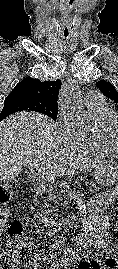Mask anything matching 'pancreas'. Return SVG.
<instances>
[{"instance_id":"obj_1","label":"pancreas","mask_w":118,"mask_h":269,"mask_svg":"<svg viewBox=\"0 0 118 269\" xmlns=\"http://www.w3.org/2000/svg\"><path fill=\"white\" fill-rule=\"evenodd\" d=\"M52 184H53V182H51L49 179L41 178V179H39L37 181L36 189L38 191L48 192L49 193V197H52V190H53ZM84 191L85 192H97L98 191V188L97 187H94V183H91V187H85L84 188ZM45 207H47V208H49V207L53 208V206L50 205V204H45Z\"/></svg>"}]
</instances>
